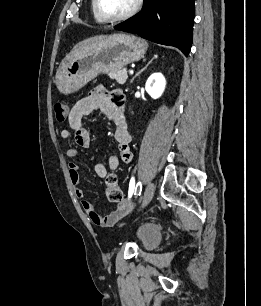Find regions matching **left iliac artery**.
I'll list each match as a JSON object with an SVG mask.
<instances>
[{"label": "left iliac artery", "mask_w": 261, "mask_h": 306, "mask_svg": "<svg viewBox=\"0 0 261 306\" xmlns=\"http://www.w3.org/2000/svg\"><path fill=\"white\" fill-rule=\"evenodd\" d=\"M134 187H135V180L132 177L129 183V191H128V197L130 198L134 192ZM142 191V184L141 182H138L135 188V195H140Z\"/></svg>", "instance_id": "left-iliac-artery-1"}]
</instances>
